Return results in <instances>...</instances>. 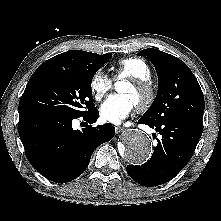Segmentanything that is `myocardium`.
Instances as JSON below:
<instances>
[{"instance_id": "obj_1", "label": "myocardium", "mask_w": 221, "mask_h": 221, "mask_svg": "<svg viewBox=\"0 0 221 221\" xmlns=\"http://www.w3.org/2000/svg\"><path fill=\"white\" fill-rule=\"evenodd\" d=\"M127 82L134 88L141 91L143 98L136 104V107L140 111L147 110L156 98V91L150 80L142 79H128Z\"/></svg>"}]
</instances>
